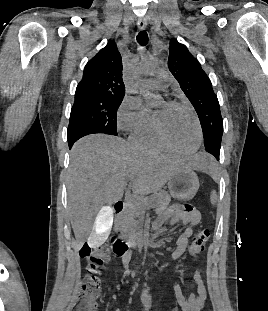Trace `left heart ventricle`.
<instances>
[{"label":"left heart ventricle","mask_w":268,"mask_h":311,"mask_svg":"<svg viewBox=\"0 0 268 311\" xmlns=\"http://www.w3.org/2000/svg\"><path fill=\"white\" fill-rule=\"evenodd\" d=\"M158 117L163 133L175 147L191 150L198 138L196 124L191 114L185 109L161 104L154 112Z\"/></svg>","instance_id":"left-heart-ventricle-1"}]
</instances>
